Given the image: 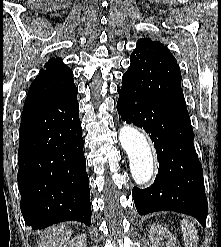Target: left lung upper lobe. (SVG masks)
<instances>
[{
  "label": "left lung upper lobe",
  "instance_id": "5c2ea615",
  "mask_svg": "<svg viewBox=\"0 0 221 247\" xmlns=\"http://www.w3.org/2000/svg\"><path fill=\"white\" fill-rule=\"evenodd\" d=\"M124 74L137 94L188 112L181 89V72L174 56L158 41L141 38Z\"/></svg>",
  "mask_w": 221,
  "mask_h": 247
}]
</instances>
